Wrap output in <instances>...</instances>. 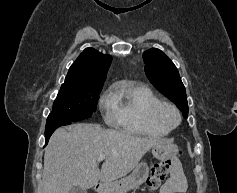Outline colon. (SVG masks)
<instances>
[{
    "label": "colon",
    "instance_id": "colon-1",
    "mask_svg": "<svg viewBox=\"0 0 237 193\" xmlns=\"http://www.w3.org/2000/svg\"><path fill=\"white\" fill-rule=\"evenodd\" d=\"M172 164L170 161L160 162L152 167V174L147 181L150 189H156L167 177L171 171Z\"/></svg>",
    "mask_w": 237,
    "mask_h": 193
}]
</instances>
